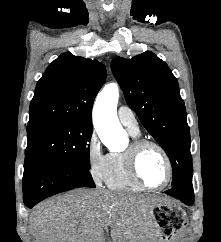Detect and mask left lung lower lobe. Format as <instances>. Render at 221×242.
<instances>
[{
    "mask_svg": "<svg viewBox=\"0 0 221 242\" xmlns=\"http://www.w3.org/2000/svg\"><path fill=\"white\" fill-rule=\"evenodd\" d=\"M191 182L172 187V189L166 191L165 194L179 198L183 203L191 205L194 202V192Z\"/></svg>",
    "mask_w": 221,
    "mask_h": 242,
    "instance_id": "obj_1",
    "label": "left lung lower lobe"
}]
</instances>
